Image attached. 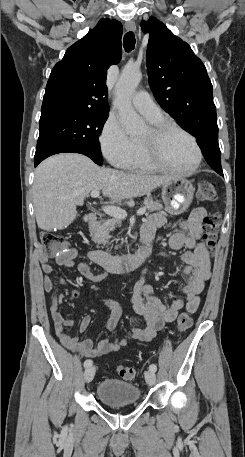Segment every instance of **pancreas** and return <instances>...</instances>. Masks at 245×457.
I'll return each mask as SVG.
<instances>
[{
    "mask_svg": "<svg viewBox=\"0 0 245 457\" xmlns=\"http://www.w3.org/2000/svg\"><path fill=\"white\" fill-rule=\"evenodd\" d=\"M144 208L148 210V212H153V210H161L163 208V204L159 202V200H153L151 196L148 198H144ZM115 224L120 226L121 220L119 218H107V220H103V222H91L89 224L88 229L90 233V237L94 243L102 245L103 249L105 245H108V239H111L109 233L110 231H114ZM116 241H123V239H116Z\"/></svg>",
    "mask_w": 245,
    "mask_h": 457,
    "instance_id": "obj_1",
    "label": "pancreas"
}]
</instances>
